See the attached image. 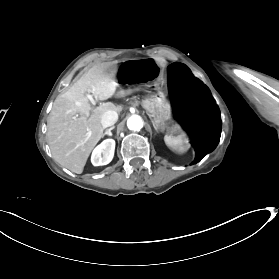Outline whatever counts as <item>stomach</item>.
<instances>
[{"mask_svg": "<svg viewBox=\"0 0 279 279\" xmlns=\"http://www.w3.org/2000/svg\"><path fill=\"white\" fill-rule=\"evenodd\" d=\"M147 111L152 116L153 124L156 128H161L166 133L175 132L180 126V119L170 102L162 97L155 96L149 103Z\"/></svg>", "mask_w": 279, "mask_h": 279, "instance_id": "stomach-1", "label": "stomach"}]
</instances>
